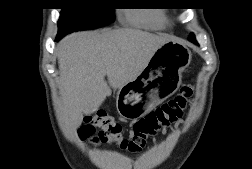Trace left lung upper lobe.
<instances>
[{
  "label": "left lung upper lobe",
  "mask_w": 252,
  "mask_h": 169,
  "mask_svg": "<svg viewBox=\"0 0 252 169\" xmlns=\"http://www.w3.org/2000/svg\"><path fill=\"white\" fill-rule=\"evenodd\" d=\"M188 39H194V35L191 33L188 37Z\"/></svg>",
  "instance_id": "obj_1"
}]
</instances>
